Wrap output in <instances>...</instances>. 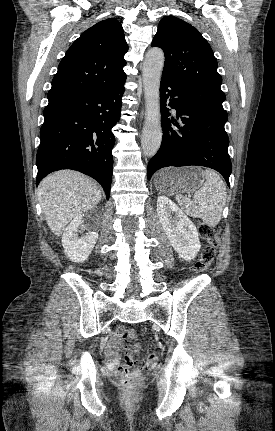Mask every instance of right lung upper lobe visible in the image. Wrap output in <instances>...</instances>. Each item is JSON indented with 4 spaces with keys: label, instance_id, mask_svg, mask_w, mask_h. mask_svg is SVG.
Instances as JSON below:
<instances>
[{
    "label": "right lung upper lobe",
    "instance_id": "right-lung-upper-lobe-1",
    "mask_svg": "<svg viewBox=\"0 0 275 431\" xmlns=\"http://www.w3.org/2000/svg\"><path fill=\"white\" fill-rule=\"evenodd\" d=\"M128 45L121 24L98 22L70 46L52 80L48 100L62 99L114 87L126 80L123 67Z\"/></svg>",
    "mask_w": 275,
    "mask_h": 431
}]
</instances>
